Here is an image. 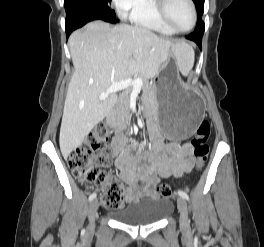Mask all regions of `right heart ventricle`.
<instances>
[{"instance_id": "1", "label": "right heart ventricle", "mask_w": 264, "mask_h": 247, "mask_svg": "<svg viewBox=\"0 0 264 247\" xmlns=\"http://www.w3.org/2000/svg\"><path fill=\"white\" fill-rule=\"evenodd\" d=\"M129 18L134 24L162 34L171 35L175 32L159 17L155 0H137Z\"/></svg>"}]
</instances>
